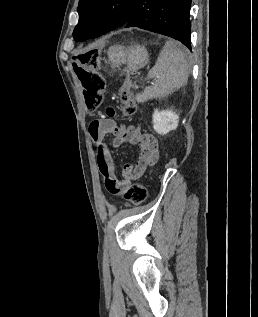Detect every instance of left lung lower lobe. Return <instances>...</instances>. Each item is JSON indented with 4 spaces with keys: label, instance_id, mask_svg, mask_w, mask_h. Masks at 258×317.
Masks as SVG:
<instances>
[{
    "label": "left lung lower lobe",
    "instance_id": "left-lung-lower-lobe-1",
    "mask_svg": "<svg viewBox=\"0 0 258 317\" xmlns=\"http://www.w3.org/2000/svg\"><path fill=\"white\" fill-rule=\"evenodd\" d=\"M190 8L191 0H135L123 25L172 37L191 50ZM111 30L99 27L80 41L97 38Z\"/></svg>",
    "mask_w": 258,
    "mask_h": 317
}]
</instances>
